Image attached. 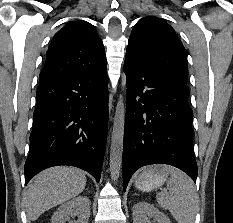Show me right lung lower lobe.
<instances>
[{
  "mask_svg": "<svg viewBox=\"0 0 233 223\" xmlns=\"http://www.w3.org/2000/svg\"><path fill=\"white\" fill-rule=\"evenodd\" d=\"M106 66L58 81L39 83L26 184L56 165L79 167L100 180L108 129Z\"/></svg>",
  "mask_w": 233,
  "mask_h": 223,
  "instance_id": "obj_1",
  "label": "right lung lower lobe"
}]
</instances>
